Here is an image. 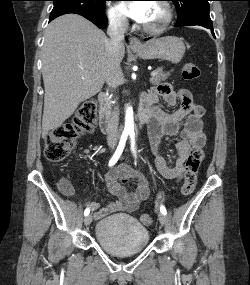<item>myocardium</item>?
Listing matches in <instances>:
<instances>
[{
  "label": "myocardium",
  "mask_w": 250,
  "mask_h": 285,
  "mask_svg": "<svg viewBox=\"0 0 250 285\" xmlns=\"http://www.w3.org/2000/svg\"><path fill=\"white\" fill-rule=\"evenodd\" d=\"M156 4H158L162 8L164 12V18L163 21L157 26L151 27L145 24L142 26L143 31L150 35H158L163 33L169 27L173 19V9L168 2L162 0L157 2Z\"/></svg>",
  "instance_id": "f54148a6"
}]
</instances>
